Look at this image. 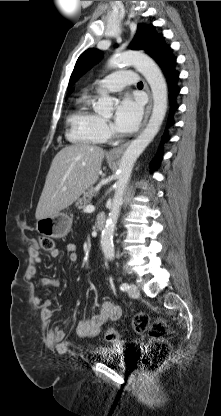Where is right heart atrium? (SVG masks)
<instances>
[{"label": "right heart atrium", "mask_w": 221, "mask_h": 416, "mask_svg": "<svg viewBox=\"0 0 221 416\" xmlns=\"http://www.w3.org/2000/svg\"><path fill=\"white\" fill-rule=\"evenodd\" d=\"M102 132L106 138L110 136V128L105 121H102Z\"/></svg>", "instance_id": "obj_1"}]
</instances>
